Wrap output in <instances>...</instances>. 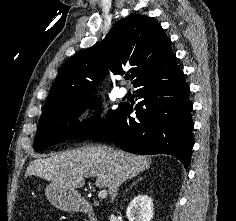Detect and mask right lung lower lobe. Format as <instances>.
<instances>
[{
    "label": "right lung lower lobe",
    "instance_id": "right-lung-lower-lobe-1",
    "mask_svg": "<svg viewBox=\"0 0 236 221\" xmlns=\"http://www.w3.org/2000/svg\"><path fill=\"white\" fill-rule=\"evenodd\" d=\"M134 87L141 101L130 117L128 103L110 118L90 139L110 138L123 150L135 154H170L188 167L193 148L192 104L189 86L176 64V56L161 68L142 78Z\"/></svg>",
    "mask_w": 236,
    "mask_h": 221
}]
</instances>
